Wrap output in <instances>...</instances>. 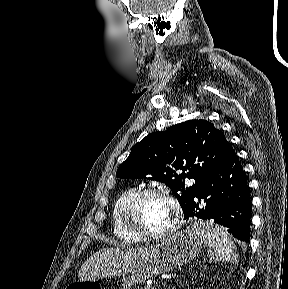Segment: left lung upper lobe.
<instances>
[{
    "label": "left lung upper lobe",
    "mask_w": 288,
    "mask_h": 289,
    "mask_svg": "<svg viewBox=\"0 0 288 289\" xmlns=\"http://www.w3.org/2000/svg\"><path fill=\"white\" fill-rule=\"evenodd\" d=\"M230 146L224 134L206 120H190L165 132L148 134L135 144L116 176L166 183L182 210L195 197ZM177 170H182L180 174ZM194 178L192 186L185 179Z\"/></svg>",
    "instance_id": "obj_1"
}]
</instances>
